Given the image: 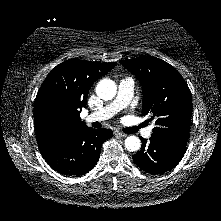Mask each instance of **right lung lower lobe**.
<instances>
[{"mask_svg":"<svg viewBox=\"0 0 221 221\" xmlns=\"http://www.w3.org/2000/svg\"><path fill=\"white\" fill-rule=\"evenodd\" d=\"M112 130L85 128L50 155L44 157L55 171L80 176L89 172L98 162L103 142L111 138Z\"/></svg>","mask_w":221,"mask_h":221,"instance_id":"obj_1","label":"right lung lower lobe"}]
</instances>
